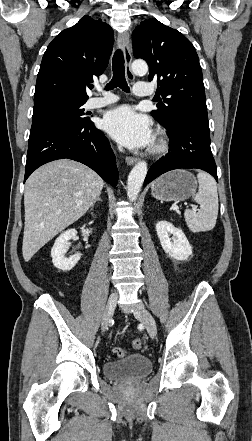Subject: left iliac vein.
Returning <instances> with one entry per match:
<instances>
[{"mask_svg": "<svg viewBox=\"0 0 252 441\" xmlns=\"http://www.w3.org/2000/svg\"><path fill=\"white\" fill-rule=\"evenodd\" d=\"M134 316L140 319L146 327L151 338L156 336V323L151 313L142 305L138 304L134 311Z\"/></svg>", "mask_w": 252, "mask_h": 441, "instance_id": "1", "label": "left iliac vein"}]
</instances>
